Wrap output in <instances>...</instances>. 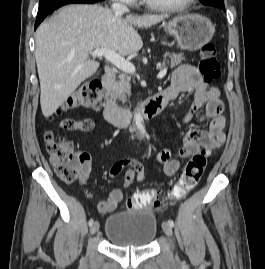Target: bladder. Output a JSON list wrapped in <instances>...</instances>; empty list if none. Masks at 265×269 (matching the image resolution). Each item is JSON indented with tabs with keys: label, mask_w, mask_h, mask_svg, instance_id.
Wrapping results in <instances>:
<instances>
[{
	"label": "bladder",
	"mask_w": 265,
	"mask_h": 269,
	"mask_svg": "<svg viewBox=\"0 0 265 269\" xmlns=\"http://www.w3.org/2000/svg\"><path fill=\"white\" fill-rule=\"evenodd\" d=\"M157 220L151 209L117 211L105 224V235L110 243L122 247L149 246L157 235Z\"/></svg>",
	"instance_id": "obj_1"
}]
</instances>
